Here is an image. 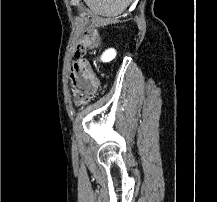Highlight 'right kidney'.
Here are the masks:
<instances>
[{
	"mask_svg": "<svg viewBox=\"0 0 217 202\" xmlns=\"http://www.w3.org/2000/svg\"><path fill=\"white\" fill-rule=\"evenodd\" d=\"M115 56H116L115 50H113V48H110V50H106V52L102 54L101 60L102 62H111V60H114Z\"/></svg>",
	"mask_w": 217,
	"mask_h": 202,
	"instance_id": "ca27d5eb",
	"label": "right kidney"
}]
</instances>
